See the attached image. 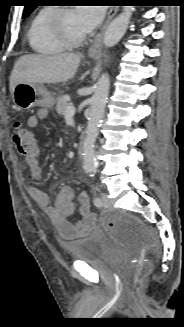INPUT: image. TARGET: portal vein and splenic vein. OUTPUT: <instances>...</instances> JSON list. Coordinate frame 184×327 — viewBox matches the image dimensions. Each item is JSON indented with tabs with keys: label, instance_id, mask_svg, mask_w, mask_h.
<instances>
[{
	"label": "portal vein and splenic vein",
	"instance_id": "obj_1",
	"mask_svg": "<svg viewBox=\"0 0 184 327\" xmlns=\"http://www.w3.org/2000/svg\"><path fill=\"white\" fill-rule=\"evenodd\" d=\"M75 114L74 106L70 105L66 108L65 117H71Z\"/></svg>",
	"mask_w": 184,
	"mask_h": 327
}]
</instances>
